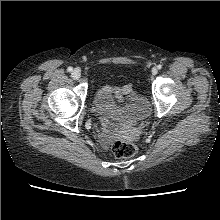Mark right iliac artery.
<instances>
[{"instance_id":"obj_1","label":"right iliac artery","mask_w":220,"mask_h":220,"mask_svg":"<svg viewBox=\"0 0 220 220\" xmlns=\"http://www.w3.org/2000/svg\"><path fill=\"white\" fill-rule=\"evenodd\" d=\"M69 72H72L73 68L72 67H68L67 69Z\"/></svg>"}]
</instances>
